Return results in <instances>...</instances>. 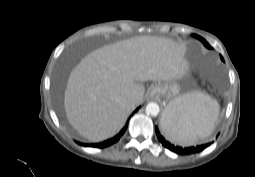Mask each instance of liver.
Wrapping results in <instances>:
<instances>
[{
  "mask_svg": "<svg viewBox=\"0 0 255 177\" xmlns=\"http://www.w3.org/2000/svg\"><path fill=\"white\" fill-rule=\"evenodd\" d=\"M184 52L183 44L169 38L139 36L89 53L67 82L64 106L69 123L91 142L113 137L141 103L142 82L186 76Z\"/></svg>",
  "mask_w": 255,
  "mask_h": 177,
  "instance_id": "obj_1",
  "label": "liver"
}]
</instances>
